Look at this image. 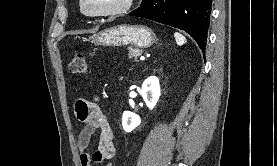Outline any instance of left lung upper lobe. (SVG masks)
<instances>
[{
	"instance_id": "1",
	"label": "left lung upper lobe",
	"mask_w": 277,
	"mask_h": 166,
	"mask_svg": "<svg viewBox=\"0 0 277 166\" xmlns=\"http://www.w3.org/2000/svg\"><path fill=\"white\" fill-rule=\"evenodd\" d=\"M145 1H146V0H143L142 4H143ZM142 4H141V5H142Z\"/></svg>"
}]
</instances>
